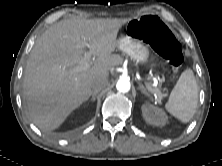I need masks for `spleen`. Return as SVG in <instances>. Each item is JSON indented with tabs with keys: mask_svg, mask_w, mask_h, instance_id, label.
<instances>
[{
	"mask_svg": "<svg viewBox=\"0 0 222 166\" xmlns=\"http://www.w3.org/2000/svg\"><path fill=\"white\" fill-rule=\"evenodd\" d=\"M198 104V85L191 69H186L180 75L169 100L166 110L183 123L189 122Z\"/></svg>",
	"mask_w": 222,
	"mask_h": 166,
	"instance_id": "1",
	"label": "spleen"
}]
</instances>
